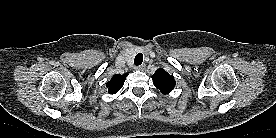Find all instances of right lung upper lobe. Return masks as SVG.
<instances>
[{
    "instance_id": "cb5924a9",
    "label": "right lung upper lobe",
    "mask_w": 276,
    "mask_h": 138,
    "mask_svg": "<svg viewBox=\"0 0 276 138\" xmlns=\"http://www.w3.org/2000/svg\"><path fill=\"white\" fill-rule=\"evenodd\" d=\"M126 79V74L123 75H114L111 80L106 84L108 93L115 94L117 93L124 84Z\"/></svg>"
}]
</instances>
